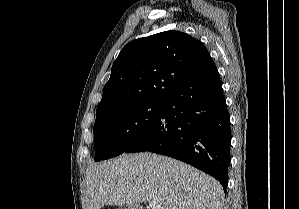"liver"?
Returning a JSON list of instances; mask_svg holds the SVG:
<instances>
[{
	"label": "liver",
	"mask_w": 299,
	"mask_h": 209,
	"mask_svg": "<svg viewBox=\"0 0 299 209\" xmlns=\"http://www.w3.org/2000/svg\"><path fill=\"white\" fill-rule=\"evenodd\" d=\"M87 209L155 201L164 209H223L220 183L170 157L143 152L90 164Z\"/></svg>",
	"instance_id": "liver-1"
}]
</instances>
